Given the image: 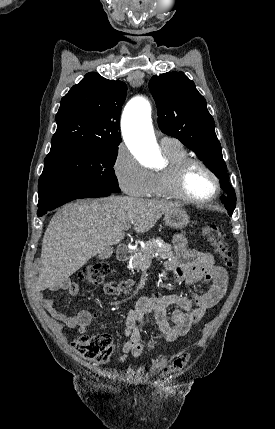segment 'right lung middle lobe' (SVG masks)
<instances>
[{
	"label": "right lung middle lobe",
	"mask_w": 275,
	"mask_h": 429,
	"mask_svg": "<svg viewBox=\"0 0 275 429\" xmlns=\"http://www.w3.org/2000/svg\"><path fill=\"white\" fill-rule=\"evenodd\" d=\"M118 152L111 147H69L50 151L39 178V198L74 188L120 192L113 166Z\"/></svg>",
	"instance_id": "1"
}]
</instances>
